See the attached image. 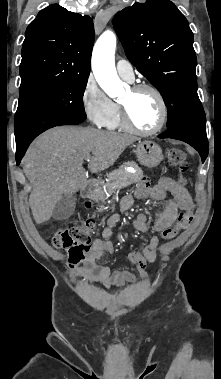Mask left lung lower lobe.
I'll list each match as a JSON object with an SVG mask.
<instances>
[{
    "label": "left lung lower lobe",
    "mask_w": 221,
    "mask_h": 379,
    "mask_svg": "<svg viewBox=\"0 0 221 379\" xmlns=\"http://www.w3.org/2000/svg\"><path fill=\"white\" fill-rule=\"evenodd\" d=\"M159 138H173L184 141L194 147L200 154L202 162L208 155V140L204 133L189 128H175L166 130Z\"/></svg>",
    "instance_id": "0a47b994"
}]
</instances>
